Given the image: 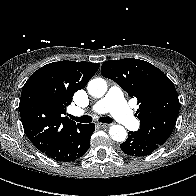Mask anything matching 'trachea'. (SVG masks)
<instances>
[{
  "mask_svg": "<svg viewBox=\"0 0 196 196\" xmlns=\"http://www.w3.org/2000/svg\"><path fill=\"white\" fill-rule=\"evenodd\" d=\"M70 118L72 120H75V121L80 122V123H91L92 122V117L88 116V115H84V116H81V117H75V116L70 115ZM99 121L102 122V123L109 124V123L113 122V119L106 116V117H100Z\"/></svg>",
  "mask_w": 196,
  "mask_h": 196,
  "instance_id": "1",
  "label": "trachea"
}]
</instances>
